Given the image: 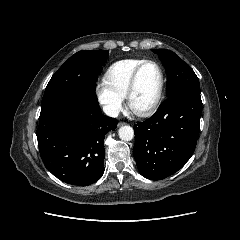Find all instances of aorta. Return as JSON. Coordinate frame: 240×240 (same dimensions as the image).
Returning a JSON list of instances; mask_svg holds the SVG:
<instances>
[{
	"label": "aorta",
	"mask_w": 240,
	"mask_h": 240,
	"mask_svg": "<svg viewBox=\"0 0 240 240\" xmlns=\"http://www.w3.org/2000/svg\"><path fill=\"white\" fill-rule=\"evenodd\" d=\"M118 135L123 141H131L134 138V130L128 125L121 126L118 130Z\"/></svg>",
	"instance_id": "obj_1"
}]
</instances>
